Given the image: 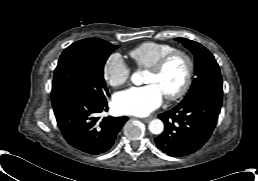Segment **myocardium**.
<instances>
[{
  "label": "myocardium",
  "instance_id": "myocardium-1",
  "mask_svg": "<svg viewBox=\"0 0 258 181\" xmlns=\"http://www.w3.org/2000/svg\"><path fill=\"white\" fill-rule=\"evenodd\" d=\"M175 57H181L186 62V75L183 84L178 90L165 94L166 98L169 100L179 99L188 92L194 73V61L192 57L186 51L175 49L162 56L158 61H156L151 67L148 68V71L150 72L161 73L166 65Z\"/></svg>",
  "mask_w": 258,
  "mask_h": 181
}]
</instances>
